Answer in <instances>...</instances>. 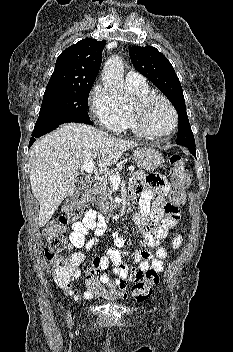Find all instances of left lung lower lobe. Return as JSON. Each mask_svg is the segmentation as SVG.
I'll return each instance as SVG.
<instances>
[{"instance_id":"0a47b994","label":"left lung lower lobe","mask_w":233,"mask_h":352,"mask_svg":"<svg viewBox=\"0 0 233 352\" xmlns=\"http://www.w3.org/2000/svg\"><path fill=\"white\" fill-rule=\"evenodd\" d=\"M187 148H188V150L196 157V154H195L196 149H195V147H190V146H188Z\"/></svg>"}]
</instances>
